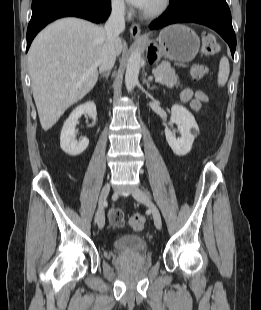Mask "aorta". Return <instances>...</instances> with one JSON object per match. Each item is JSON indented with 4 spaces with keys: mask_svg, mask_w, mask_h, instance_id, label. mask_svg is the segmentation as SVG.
I'll return each instance as SVG.
<instances>
[{
    "mask_svg": "<svg viewBox=\"0 0 261 310\" xmlns=\"http://www.w3.org/2000/svg\"><path fill=\"white\" fill-rule=\"evenodd\" d=\"M141 61L140 52L137 49L134 50L128 59L125 73V85L128 92H131L138 83Z\"/></svg>",
    "mask_w": 261,
    "mask_h": 310,
    "instance_id": "762f6f07",
    "label": "aorta"
}]
</instances>
